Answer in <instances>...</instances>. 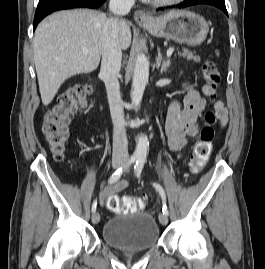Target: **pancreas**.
I'll use <instances>...</instances> for the list:
<instances>
[{
  "label": "pancreas",
  "instance_id": "cf45deb5",
  "mask_svg": "<svg viewBox=\"0 0 265 269\" xmlns=\"http://www.w3.org/2000/svg\"><path fill=\"white\" fill-rule=\"evenodd\" d=\"M178 55L182 56L184 58H187L188 60H193L194 62H199L200 61V57L197 56V55H194L188 49H183L182 51L178 52Z\"/></svg>",
  "mask_w": 265,
  "mask_h": 269
}]
</instances>
